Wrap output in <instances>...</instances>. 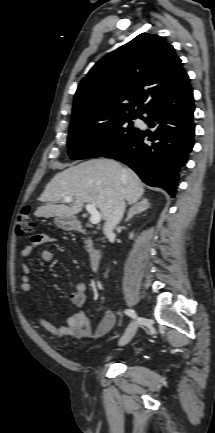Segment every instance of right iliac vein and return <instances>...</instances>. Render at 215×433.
<instances>
[{
    "instance_id": "1",
    "label": "right iliac vein",
    "mask_w": 215,
    "mask_h": 433,
    "mask_svg": "<svg viewBox=\"0 0 215 433\" xmlns=\"http://www.w3.org/2000/svg\"><path fill=\"white\" fill-rule=\"evenodd\" d=\"M139 318L134 319L130 325L128 326L127 330L123 334V336L119 340V345L124 346L128 344L132 338L134 337L137 328H138Z\"/></svg>"
}]
</instances>
